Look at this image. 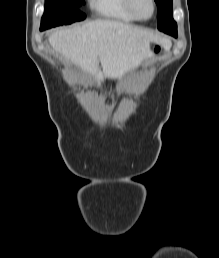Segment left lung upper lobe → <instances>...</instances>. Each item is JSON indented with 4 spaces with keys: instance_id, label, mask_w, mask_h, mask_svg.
Listing matches in <instances>:
<instances>
[{
    "instance_id": "5c2ea615",
    "label": "left lung upper lobe",
    "mask_w": 219,
    "mask_h": 258,
    "mask_svg": "<svg viewBox=\"0 0 219 258\" xmlns=\"http://www.w3.org/2000/svg\"><path fill=\"white\" fill-rule=\"evenodd\" d=\"M158 8L157 27L165 33L176 32L177 24L172 15V0H155Z\"/></svg>"
}]
</instances>
